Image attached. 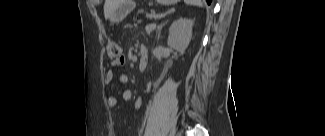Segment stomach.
<instances>
[{"mask_svg":"<svg viewBox=\"0 0 325 136\" xmlns=\"http://www.w3.org/2000/svg\"><path fill=\"white\" fill-rule=\"evenodd\" d=\"M160 4L170 5L177 2V0H156ZM133 2L129 0H121L117 9L112 13L110 21L113 23H118L122 21L129 12L134 11Z\"/></svg>","mask_w":325,"mask_h":136,"instance_id":"stomach-1","label":"stomach"}]
</instances>
